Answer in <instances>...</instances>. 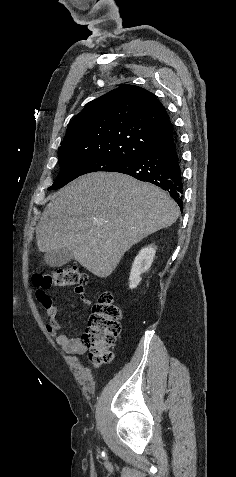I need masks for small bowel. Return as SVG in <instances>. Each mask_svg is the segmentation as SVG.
<instances>
[{"label": "small bowel", "instance_id": "1", "mask_svg": "<svg viewBox=\"0 0 236 477\" xmlns=\"http://www.w3.org/2000/svg\"><path fill=\"white\" fill-rule=\"evenodd\" d=\"M76 294L80 297V300L85 307L90 305V300L83 293L76 292ZM37 298L46 313L49 315L47 329L55 337L57 344L71 355L79 356L84 353L86 347L83 338L74 337L70 334H59L61 330V323L59 320L60 313L52 298L43 291L37 292Z\"/></svg>", "mask_w": 236, "mask_h": 477}]
</instances>
